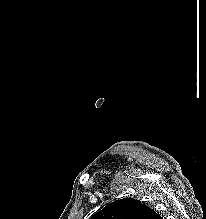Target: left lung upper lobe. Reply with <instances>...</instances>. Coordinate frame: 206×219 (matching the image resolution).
I'll return each instance as SVG.
<instances>
[{
  "label": "left lung upper lobe",
  "instance_id": "left-lung-upper-lobe-1",
  "mask_svg": "<svg viewBox=\"0 0 206 219\" xmlns=\"http://www.w3.org/2000/svg\"><path fill=\"white\" fill-rule=\"evenodd\" d=\"M154 210L132 198L116 200L94 214L91 219H151Z\"/></svg>",
  "mask_w": 206,
  "mask_h": 219
}]
</instances>
